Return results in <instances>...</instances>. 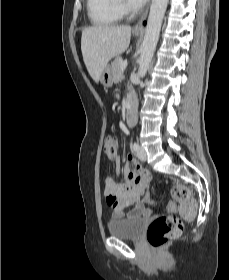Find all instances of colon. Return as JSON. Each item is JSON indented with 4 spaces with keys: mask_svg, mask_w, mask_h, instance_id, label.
I'll use <instances>...</instances> for the list:
<instances>
[{
    "mask_svg": "<svg viewBox=\"0 0 229 280\" xmlns=\"http://www.w3.org/2000/svg\"><path fill=\"white\" fill-rule=\"evenodd\" d=\"M103 148L105 155L109 158L112 157L116 148L115 140L110 136L107 137ZM148 180L149 177L138 175L134 182L139 184ZM171 194L178 204V212L182 219L174 215L161 216L150 224L147 230V239L155 250L162 248L169 240L177 237L183 230V221L192 220L199 211V204L188 186L175 184L171 188Z\"/></svg>",
    "mask_w": 229,
    "mask_h": 280,
    "instance_id": "5ec220e1",
    "label": "colon"
}]
</instances>
